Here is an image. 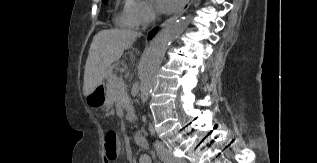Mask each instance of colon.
Masks as SVG:
<instances>
[{"label": "colon", "instance_id": "obj_1", "mask_svg": "<svg viewBox=\"0 0 317 163\" xmlns=\"http://www.w3.org/2000/svg\"><path fill=\"white\" fill-rule=\"evenodd\" d=\"M106 159L110 162L117 158L119 153L118 136L114 130H107L104 136Z\"/></svg>", "mask_w": 317, "mask_h": 163}]
</instances>
